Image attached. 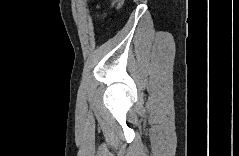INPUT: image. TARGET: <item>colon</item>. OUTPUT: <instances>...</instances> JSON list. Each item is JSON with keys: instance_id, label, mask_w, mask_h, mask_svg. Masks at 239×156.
<instances>
[{"instance_id": "1", "label": "colon", "mask_w": 239, "mask_h": 156, "mask_svg": "<svg viewBox=\"0 0 239 156\" xmlns=\"http://www.w3.org/2000/svg\"><path fill=\"white\" fill-rule=\"evenodd\" d=\"M122 4H123V0H112L111 2V5L114 11L121 8Z\"/></svg>"}]
</instances>
